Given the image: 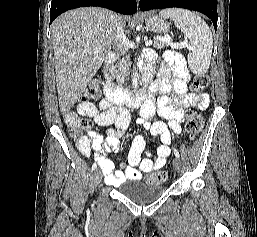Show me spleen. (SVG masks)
I'll list each match as a JSON object with an SVG mask.
<instances>
[{
    "mask_svg": "<svg viewBox=\"0 0 257 237\" xmlns=\"http://www.w3.org/2000/svg\"><path fill=\"white\" fill-rule=\"evenodd\" d=\"M159 15L174 21L175 26L189 39L192 52L188 54V64L191 71L196 75L205 74L213 49L212 33L206 22L185 9H165Z\"/></svg>",
    "mask_w": 257,
    "mask_h": 237,
    "instance_id": "spleen-1",
    "label": "spleen"
}]
</instances>
